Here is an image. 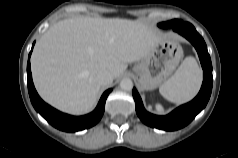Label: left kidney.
Segmentation results:
<instances>
[{
    "instance_id": "left-kidney-1",
    "label": "left kidney",
    "mask_w": 238,
    "mask_h": 158,
    "mask_svg": "<svg viewBox=\"0 0 238 158\" xmlns=\"http://www.w3.org/2000/svg\"><path fill=\"white\" fill-rule=\"evenodd\" d=\"M157 109L161 111V110H162V107H161L160 105H158V106H157Z\"/></svg>"
}]
</instances>
